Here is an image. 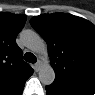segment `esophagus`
<instances>
[{
	"mask_svg": "<svg viewBox=\"0 0 95 95\" xmlns=\"http://www.w3.org/2000/svg\"><path fill=\"white\" fill-rule=\"evenodd\" d=\"M41 66H42V61L38 60L37 63L35 64V70L39 71Z\"/></svg>",
	"mask_w": 95,
	"mask_h": 95,
	"instance_id": "obj_1",
	"label": "esophagus"
}]
</instances>
